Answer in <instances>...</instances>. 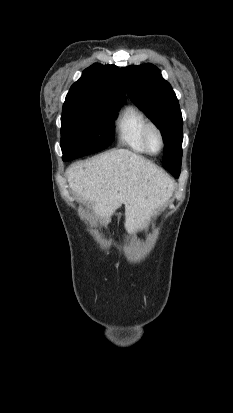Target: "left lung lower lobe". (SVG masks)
I'll use <instances>...</instances> for the list:
<instances>
[{"instance_id": "0a47b994", "label": "left lung lower lobe", "mask_w": 233, "mask_h": 413, "mask_svg": "<svg viewBox=\"0 0 233 413\" xmlns=\"http://www.w3.org/2000/svg\"><path fill=\"white\" fill-rule=\"evenodd\" d=\"M179 174H180V169L174 173V177H175V178H178V177H179Z\"/></svg>"}]
</instances>
